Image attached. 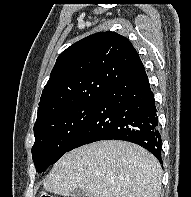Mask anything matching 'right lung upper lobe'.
Here are the masks:
<instances>
[{
  "label": "right lung upper lobe",
  "instance_id": "right-lung-upper-lobe-1",
  "mask_svg": "<svg viewBox=\"0 0 191 197\" xmlns=\"http://www.w3.org/2000/svg\"><path fill=\"white\" fill-rule=\"evenodd\" d=\"M142 71L137 51L124 36L108 31L81 39L58 56L36 123L68 107L98 101L109 87Z\"/></svg>",
  "mask_w": 191,
  "mask_h": 197
}]
</instances>
